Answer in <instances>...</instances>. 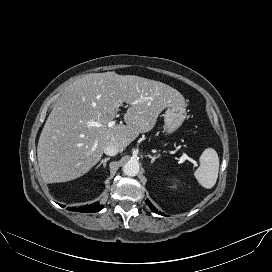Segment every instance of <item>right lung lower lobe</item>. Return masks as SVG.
I'll return each mask as SVG.
<instances>
[{
	"mask_svg": "<svg viewBox=\"0 0 272 272\" xmlns=\"http://www.w3.org/2000/svg\"><path fill=\"white\" fill-rule=\"evenodd\" d=\"M61 206L64 207V205H61ZM102 208L103 206L99 205V203L96 202V203L85 205L79 208H68V210H76L78 212L92 213V212L100 211Z\"/></svg>",
	"mask_w": 272,
	"mask_h": 272,
	"instance_id": "1",
	"label": "right lung lower lobe"
}]
</instances>
